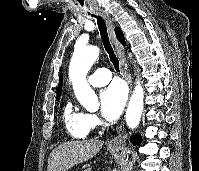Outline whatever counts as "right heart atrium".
Returning <instances> with one entry per match:
<instances>
[{
  "label": "right heart atrium",
  "mask_w": 199,
  "mask_h": 171,
  "mask_svg": "<svg viewBox=\"0 0 199 171\" xmlns=\"http://www.w3.org/2000/svg\"><path fill=\"white\" fill-rule=\"evenodd\" d=\"M86 123L90 130L95 129L99 125V118L96 114L88 113L86 117Z\"/></svg>",
  "instance_id": "d8ad5b80"
}]
</instances>
